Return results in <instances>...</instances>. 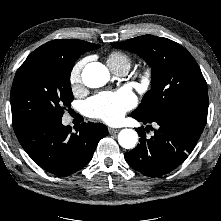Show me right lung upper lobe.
Instances as JSON below:
<instances>
[{"instance_id": "1", "label": "right lung upper lobe", "mask_w": 221, "mask_h": 221, "mask_svg": "<svg viewBox=\"0 0 221 221\" xmlns=\"http://www.w3.org/2000/svg\"><path fill=\"white\" fill-rule=\"evenodd\" d=\"M100 46L92 43L85 42L83 40L76 39H56L45 43L39 48H59L68 49L74 53L87 52L91 50L98 49Z\"/></svg>"}]
</instances>
